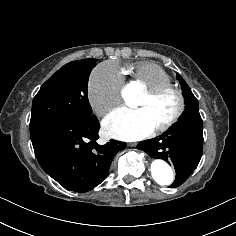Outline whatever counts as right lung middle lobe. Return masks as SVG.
I'll use <instances>...</instances> for the list:
<instances>
[{"label":"right lung middle lobe","mask_w":236,"mask_h":236,"mask_svg":"<svg viewBox=\"0 0 236 236\" xmlns=\"http://www.w3.org/2000/svg\"><path fill=\"white\" fill-rule=\"evenodd\" d=\"M95 66V59H83L56 71L33 99L30 125L59 117L91 116L87 88Z\"/></svg>","instance_id":"dd1d6c3e"}]
</instances>
